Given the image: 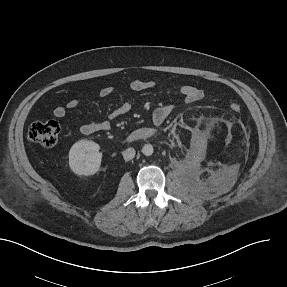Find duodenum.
<instances>
[{
    "mask_svg": "<svg viewBox=\"0 0 287 287\" xmlns=\"http://www.w3.org/2000/svg\"><path fill=\"white\" fill-rule=\"evenodd\" d=\"M155 131L152 128L148 127H142L134 130L132 133H130L126 138L125 142L126 143H131L134 141H139V140H145L149 139L154 135Z\"/></svg>",
    "mask_w": 287,
    "mask_h": 287,
    "instance_id": "410a0bca",
    "label": "duodenum"
}]
</instances>
